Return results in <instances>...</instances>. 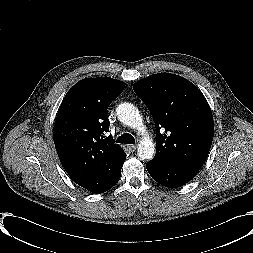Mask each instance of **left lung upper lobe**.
I'll use <instances>...</instances> for the list:
<instances>
[{
    "label": "left lung upper lobe",
    "mask_w": 253,
    "mask_h": 253,
    "mask_svg": "<svg viewBox=\"0 0 253 253\" xmlns=\"http://www.w3.org/2000/svg\"><path fill=\"white\" fill-rule=\"evenodd\" d=\"M133 89L156 126L157 150L151 161L201 168L214 135L212 112L202 92L185 78L170 73L146 77Z\"/></svg>",
    "instance_id": "5c2ea615"
}]
</instances>
